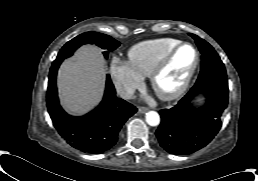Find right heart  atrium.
<instances>
[{
    "label": "right heart atrium",
    "instance_id": "obj_1",
    "mask_svg": "<svg viewBox=\"0 0 258 181\" xmlns=\"http://www.w3.org/2000/svg\"><path fill=\"white\" fill-rule=\"evenodd\" d=\"M110 75L116 91L123 98L130 97L142 85L143 78L127 62L113 59L110 63Z\"/></svg>",
    "mask_w": 258,
    "mask_h": 181
}]
</instances>
